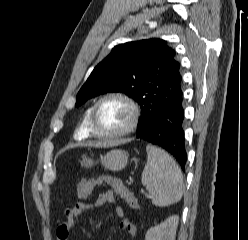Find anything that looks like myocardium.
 <instances>
[{
    "label": "myocardium",
    "instance_id": "obj_1",
    "mask_svg": "<svg viewBox=\"0 0 248 240\" xmlns=\"http://www.w3.org/2000/svg\"><path fill=\"white\" fill-rule=\"evenodd\" d=\"M108 100H117L123 102L129 112H130V119L128 124L121 130L113 133H101L96 128V114L98 111L99 106ZM140 107L138 103L135 101L133 97L130 95L123 93V92H110L102 97H100L96 103L93 105L91 114H90V120H89V127H90V133L91 135L103 139H113L117 137H121L124 135H127L131 133L138 125L139 119H140Z\"/></svg>",
    "mask_w": 248,
    "mask_h": 240
}]
</instances>
